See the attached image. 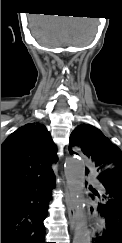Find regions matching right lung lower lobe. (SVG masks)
<instances>
[{"instance_id":"right-lung-lower-lobe-1","label":"right lung lower lobe","mask_w":122,"mask_h":243,"mask_svg":"<svg viewBox=\"0 0 122 243\" xmlns=\"http://www.w3.org/2000/svg\"><path fill=\"white\" fill-rule=\"evenodd\" d=\"M54 186L52 173L1 194V243H46L44 220Z\"/></svg>"}]
</instances>
